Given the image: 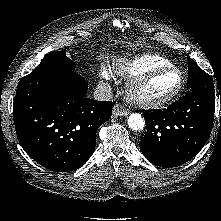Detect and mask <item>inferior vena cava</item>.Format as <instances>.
Here are the masks:
<instances>
[{"mask_svg":"<svg viewBox=\"0 0 221 221\" xmlns=\"http://www.w3.org/2000/svg\"><path fill=\"white\" fill-rule=\"evenodd\" d=\"M94 98L98 101H110L112 99V88L108 83L101 82L94 90Z\"/></svg>","mask_w":221,"mask_h":221,"instance_id":"602c4592","label":"inferior vena cava"}]
</instances>
